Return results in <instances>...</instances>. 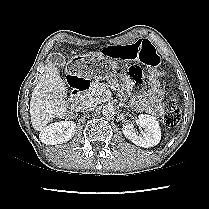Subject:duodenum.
<instances>
[{
    "instance_id": "obj_1",
    "label": "duodenum",
    "mask_w": 209,
    "mask_h": 209,
    "mask_svg": "<svg viewBox=\"0 0 209 209\" xmlns=\"http://www.w3.org/2000/svg\"><path fill=\"white\" fill-rule=\"evenodd\" d=\"M69 83L72 87L70 102L76 104L81 95L89 88L90 81L86 78L70 76Z\"/></svg>"
}]
</instances>
